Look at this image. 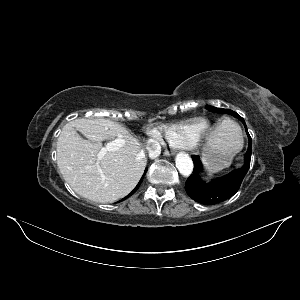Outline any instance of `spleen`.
I'll return each mask as SVG.
<instances>
[{"label": "spleen", "instance_id": "obj_1", "mask_svg": "<svg viewBox=\"0 0 300 300\" xmlns=\"http://www.w3.org/2000/svg\"><path fill=\"white\" fill-rule=\"evenodd\" d=\"M222 125H224L228 129H230V131L232 132L233 136L241 139V130H240V127L237 124H235L233 121H231L229 119L223 120Z\"/></svg>", "mask_w": 300, "mask_h": 300}]
</instances>
